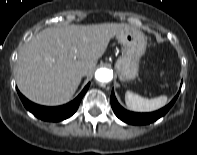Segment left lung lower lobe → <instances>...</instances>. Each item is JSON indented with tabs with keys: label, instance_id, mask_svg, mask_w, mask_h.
Masks as SVG:
<instances>
[{
	"label": "left lung lower lobe",
	"instance_id": "1",
	"mask_svg": "<svg viewBox=\"0 0 197 155\" xmlns=\"http://www.w3.org/2000/svg\"><path fill=\"white\" fill-rule=\"evenodd\" d=\"M179 93L175 96V98L165 107L162 109L151 112V113H135L125 110L123 107L120 106L118 101L115 98L114 90L111 93V106L115 113V115L125 123L132 124V125H145L152 123L159 119L160 117L164 116L168 110L172 107L175 103Z\"/></svg>",
	"mask_w": 197,
	"mask_h": 155
}]
</instances>
